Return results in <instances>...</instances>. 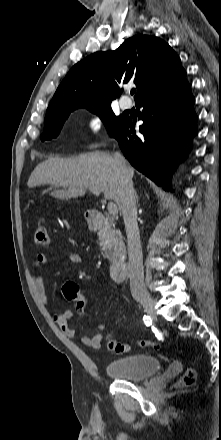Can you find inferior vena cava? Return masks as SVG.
Masks as SVG:
<instances>
[{"instance_id": "602c4592", "label": "inferior vena cava", "mask_w": 221, "mask_h": 440, "mask_svg": "<svg viewBox=\"0 0 221 440\" xmlns=\"http://www.w3.org/2000/svg\"><path fill=\"white\" fill-rule=\"evenodd\" d=\"M113 158L121 173L120 199L127 234L130 287L132 291L142 294L144 286L143 260L132 177L125 158L119 152H115Z\"/></svg>"}]
</instances>
